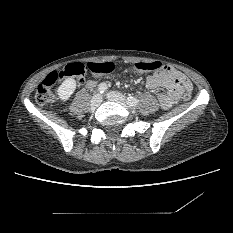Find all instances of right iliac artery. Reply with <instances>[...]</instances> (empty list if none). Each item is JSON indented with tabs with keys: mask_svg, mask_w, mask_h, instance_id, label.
Listing matches in <instances>:
<instances>
[{
	"mask_svg": "<svg viewBox=\"0 0 233 233\" xmlns=\"http://www.w3.org/2000/svg\"><path fill=\"white\" fill-rule=\"evenodd\" d=\"M107 90V85L105 83H101L98 87V91L102 94Z\"/></svg>",
	"mask_w": 233,
	"mask_h": 233,
	"instance_id": "82829eb1",
	"label": "right iliac artery"
}]
</instances>
